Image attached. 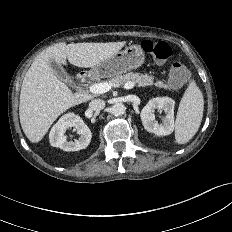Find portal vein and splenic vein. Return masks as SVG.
<instances>
[{"mask_svg":"<svg viewBox=\"0 0 232 232\" xmlns=\"http://www.w3.org/2000/svg\"><path fill=\"white\" fill-rule=\"evenodd\" d=\"M118 84H112L108 82L92 84L89 86V91L94 94H103L108 92L112 87H118ZM135 86L134 82H127L124 84L125 89H132Z\"/></svg>","mask_w":232,"mask_h":232,"instance_id":"obj_1","label":"portal vein and splenic vein"}]
</instances>
